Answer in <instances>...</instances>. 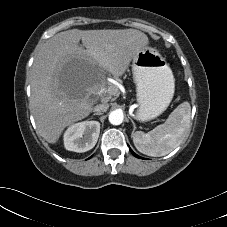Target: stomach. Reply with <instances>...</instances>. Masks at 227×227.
<instances>
[{
	"label": "stomach",
	"mask_w": 227,
	"mask_h": 227,
	"mask_svg": "<svg viewBox=\"0 0 227 227\" xmlns=\"http://www.w3.org/2000/svg\"><path fill=\"white\" fill-rule=\"evenodd\" d=\"M136 85L137 120L146 122L162 114L169 106L175 90V79L165 58L155 49L142 48L132 59Z\"/></svg>",
	"instance_id": "stomach-1"
}]
</instances>
